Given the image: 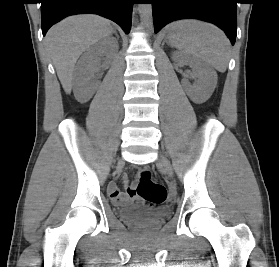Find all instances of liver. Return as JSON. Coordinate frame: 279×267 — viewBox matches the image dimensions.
Returning a JSON list of instances; mask_svg holds the SVG:
<instances>
[{
    "mask_svg": "<svg viewBox=\"0 0 279 267\" xmlns=\"http://www.w3.org/2000/svg\"><path fill=\"white\" fill-rule=\"evenodd\" d=\"M112 33L110 21L97 15L71 16L49 29L45 37L46 48L66 93L71 92L73 71L79 56Z\"/></svg>",
    "mask_w": 279,
    "mask_h": 267,
    "instance_id": "6515ba94",
    "label": "liver"
}]
</instances>
